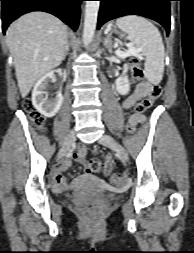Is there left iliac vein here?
Listing matches in <instances>:
<instances>
[{
	"label": "left iliac vein",
	"mask_w": 194,
	"mask_h": 253,
	"mask_svg": "<svg viewBox=\"0 0 194 253\" xmlns=\"http://www.w3.org/2000/svg\"><path fill=\"white\" fill-rule=\"evenodd\" d=\"M98 142L104 146L113 149L124 162L128 161L129 157L125 148L118 142H116L110 135H102Z\"/></svg>",
	"instance_id": "1"
}]
</instances>
